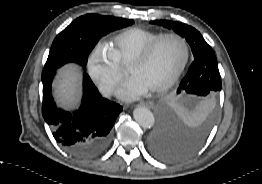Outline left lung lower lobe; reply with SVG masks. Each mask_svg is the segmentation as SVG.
<instances>
[{"label":"left lung lower lobe","instance_id":"0a47b994","mask_svg":"<svg viewBox=\"0 0 262 184\" xmlns=\"http://www.w3.org/2000/svg\"><path fill=\"white\" fill-rule=\"evenodd\" d=\"M195 63L197 66L204 64V70H216L220 75L215 54L200 57ZM207 133L208 127L191 136L179 135L167 121L160 118L149 138V149L155 157L163 161H181L200 150L207 139Z\"/></svg>","mask_w":262,"mask_h":184}]
</instances>
